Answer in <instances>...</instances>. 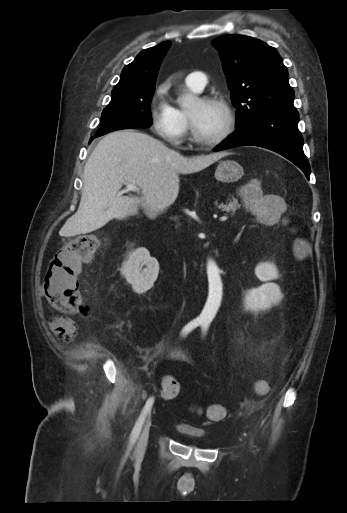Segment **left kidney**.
<instances>
[{"label": "left kidney", "instance_id": "1", "mask_svg": "<svg viewBox=\"0 0 347 513\" xmlns=\"http://www.w3.org/2000/svg\"><path fill=\"white\" fill-rule=\"evenodd\" d=\"M256 276L265 284L246 292L244 306L246 309L258 312H265L271 309L282 299V293L277 284L268 282L278 279L279 273L273 263H259L255 268Z\"/></svg>", "mask_w": 347, "mask_h": 513}]
</instances>
